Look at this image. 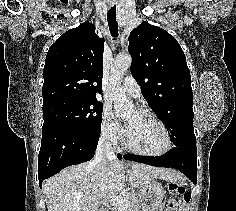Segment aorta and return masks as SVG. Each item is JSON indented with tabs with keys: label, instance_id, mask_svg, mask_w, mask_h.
Returning a JSON list of instances; mask_svg holds the SVG:
<instances>
[{
	"label": "aorta",
	"instance_id": "762f6f07",
	"mask_svg": "<svg viewBox=\"0 0 236 211\" xmlns=\"http://www.w3.org/2000/svg\"><path fill=\"white\" fill-rule=\"evenodd\" d=\"M132 64V57L128 54L119 55L113 61L111 68L112 88L110 96L114 103V108L117 114H124L133 108V104L125 95L121 87V79L125 71H127Z\"/></svg>",
	"mask_w": 236,
	"mask_h": 211
}]
</instances>
